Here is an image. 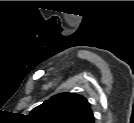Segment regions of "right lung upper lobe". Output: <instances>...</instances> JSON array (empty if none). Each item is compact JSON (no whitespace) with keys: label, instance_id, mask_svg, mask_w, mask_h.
<instances>
[{"label":"right lung upper lobe","instance_id":"obj_1","mask_svg":"<svg viewBox=\"0 0 134 123\" xmlns=\"http://www.w3.org/2000/svg\"><path fill=\"white\" fill-rule=\"evenodd\" d=\"M34 123H94L86 98L75 93H59L34 108L28 115Z\"/></svg>","mask_w":134,"mask_h":123}]
</instances>
